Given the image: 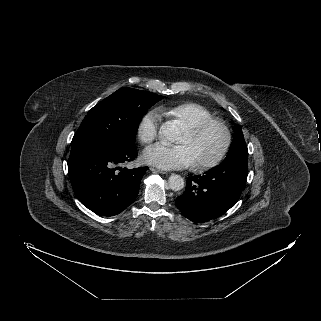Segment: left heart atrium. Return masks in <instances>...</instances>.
Returning a JSON list of instances; mask_svg holds the SVG:
<instances>
[{"label":"left heart atrium","mask_w":321,"mask_h":321,"mask_svg":"<svg viewBox=\"0 0 321 321\" xmlns=\"http://www.w3.org/2000/svg\"><path fill=\"white\" fill-rule=\"evenodd\" d=\"M143 158L147 164L166 170L188 167L194 163L192 152L186 144L157 143L146 148Z\"/></svg>","instance_id":"1"}]
</instances>
